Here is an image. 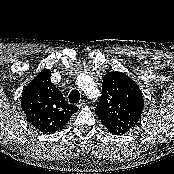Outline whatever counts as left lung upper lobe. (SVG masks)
I'll return each instance as SVG.
<instances>
[{
    "label": "left lung upper lobe",
    "mask_w": 174,
    "mask_h": 174,
    "mask_svg": "<svg viewBox=\"0 0 174 174\" xmlns=\"http://www.w3.org/2000/svg\"><path fill=\"white\" fill-rule=\"evenodd\" d=\"M143 105L142 92L130 77L109 72L103 78L102 96L95 113L112 134L122 135L138 123Z\"/></svg>",
    "instance_id": "5c2ea615"
}]
</instances>
